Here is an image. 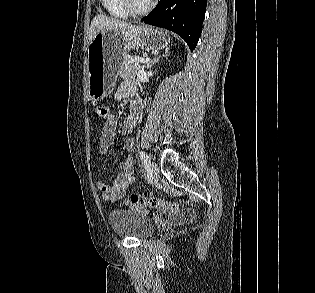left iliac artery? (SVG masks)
Wrapping results in <instances>:
<instances>
[{
    "label": "left iliac artery",
    "mask_w": 315,
    "mask_h": 293,
    "mask_svg": "<svg viewBox=\"0 0 315 293\" xmlns=\"http://www.w3.org/2000/svg\"><path fill=\"white\" fill-rule=\"evenodd\" d=\"M139 155H140V158L145 166L146 169H150V159H149V156L143 152V151H140L139 152Z\"/></svg>",
    "instance_id": "1"
}]
</instances>
